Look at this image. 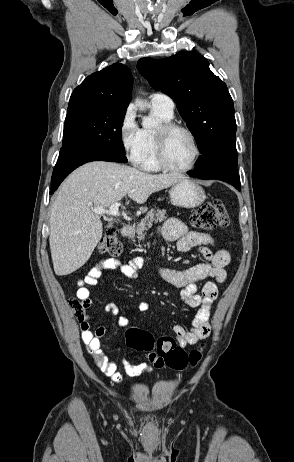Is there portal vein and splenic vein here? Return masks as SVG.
I'll list each match as a JSON object with an SVG mask.
<instances>
[{"label": "portal vein and splenic vein", "instance_id": "portal-vein-and-splenic-vein-1", "mask_svg": "<svg viewBox=\"0 0 294 462\" xmlns=\"http://www.w3.org/2000/svg\"><path fill=\"white\" fill-rule=\"evenodd\" d=\"M119 206H120V203L116 202V203L112 204L109 207V209L94 208L93 211H94V213L99 214V215L107 214V215H110V216L119 217L120 216Z\"/></svg>", "mask_w": 294, "mask_h": 462}]
</instances>
